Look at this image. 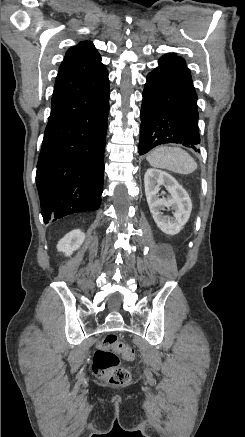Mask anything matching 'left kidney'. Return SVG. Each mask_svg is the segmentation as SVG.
<instances>
[{
  "mask_svg": "<svg viewBox=\"0 0 245 437\" xmlns=\"http://www.w3.org/2000/svg\"><path fill=\"white\" fill-rule=\"evenodd\" d=\"M145 195L150 212L157 226L168 235H176L188 222L192 211V201L186 190L177 180L162 170L150 168L144 175ZM161 186L169 195L160 198ZM174 211L173 217L163 215L165 208Z\"/></svg>",
  "mask_w": 245,
  "mask_h": 437,
  "instance_id": "obj_1",
  "label": "left kidney"
}]
</instances>
